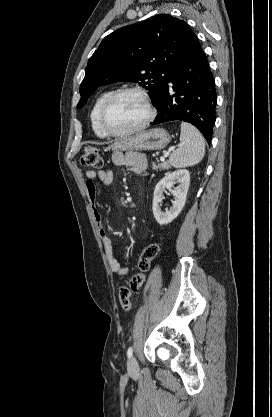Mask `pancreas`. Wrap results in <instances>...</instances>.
Wrapping results in <instances>:
<instances>
[{"label":"pancreas","mask_w":272,"mask_h":417,"mask_svg":"<svg viewBox=\"0 0 272 417\" xmlns=\"http://www.w3.org/2000/svg\"><path fill=\"white\" fill-rule=\"evenodd\" d=\"M152 168L154 170H158V169H169V163L168 162H163L161 164H156L155 162L152 163Z\"/></svg>","instance_id":"obj_1"}]
</instances>
